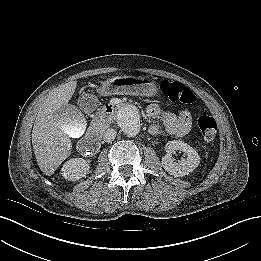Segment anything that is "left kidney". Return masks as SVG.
<instances>
[{"instance_id": "5707ae66", "label": "left kidney", "mask_w": 261, "mask_h": 261, "mask_svg": "<svg viewBox=\"0 0 261 261\" xmlns=\"http://www.w3.org/2000/svg\"><path fill=\"white\" fill-rule=\"evenodd\" d=\"M166 155L162 157L161 164L165 171L174 176H185L191 173L200 164V157L195 149L190 145L179 141H169L165 146ZM175 151H182L186 154V159L176 162L172 159Z\"/></svg>"}]
</instances>
